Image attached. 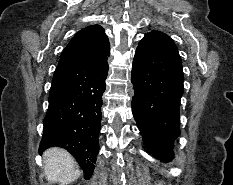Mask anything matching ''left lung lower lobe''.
Listing matches in <instances>:
<instances>
[{
    "label": "left lung lower lobe",
    "mask_w": 233,
    "mask_h": 185,
    "mask_svg": "<svg viewBox=\"0 0 233 185\" xmlns=\"http://www.w3.org/2000/svg\"><path fill=\"white\" fill-rule=\"evenodd\" d=\"M132 112L144 144L157 159H173V142L180 135L179 111L184 75L177 51L144 37L133 60Z\"/></svg>",
    "instance_id": "0a47b994"
}]
</instances>
